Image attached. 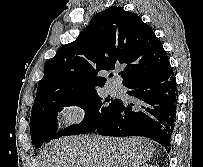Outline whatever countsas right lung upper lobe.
I'll use <instances>...</instances> for the list:
<instances>
[{
    "label": "right lung upper lobe",
    "mask_w": 203,
    "mask_h": 167,
    "mask_svg": "<svg viewBox=\"0 0 203 167\" xmlns=\"http://www.w3.org/2000/svg\"><path fill=\"white\" fill-rule=\"evenodd\" d=\"M167 63L161 42L137 14L110 7L46 62L32 110L55 98L97 91L106 82L99 72L121 68L125 86Z\"/></svg>",
    "instance_id": "cb5924a9"
}]
</instances>
